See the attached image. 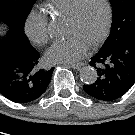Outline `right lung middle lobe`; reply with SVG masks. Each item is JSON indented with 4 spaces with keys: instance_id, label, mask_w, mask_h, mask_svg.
<instances>
[{
    "instance_id": "dd1d6c3e",
    "label": "right lung middle lobe",
    "mask_w": 135,
    "mask_h": 135,
    "mask_svg": "<svg viewBox=\"0 0 135 135\" xmlns=\"http://www.w3.org/2000/svg\"><path fill=\"white\" fill-rule=\"evenodd\" d=\"M36 0H0V22L24 38V23Z\"/></svg>"
}]
</instances>
